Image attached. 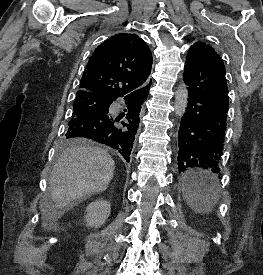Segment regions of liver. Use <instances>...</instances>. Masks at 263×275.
Here are the masks:
<instances>
[{
  "label": "liver",
  "mask_w": 263,
  "mask_h": 275,
  "mask_svg": "<svg viewBox=\"0 0 263 275\" xmlns=\"http://www.w3.org/2000/svg\"><path fill=\"white\" fill-rule=\"evenodd\" d=\"M115 163L106 150L87 144L64 151L50 178V200L41 205L43 225H55L74 204L107 189Z\"/></svg>",
  "instance_id": "1"
}]
</instances>
